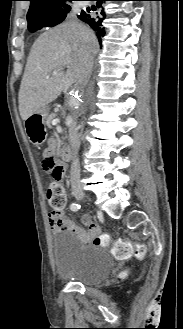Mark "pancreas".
<instances>
[{
  "label": "pancreas",
  "mask_w": 183,
  "mask_h": 329,
  "mask_svg": "<svg viewBox=\"0 0 183 329\" xmlns=\"http://www.w3.org/2000/svg\"><path fill=\"white\" fill-rule=\"evenodd\" d=\"M56 117V114H51L46 118L45 124L48 128H51L52 120Z\"/></svg>",
  "instance_id": "pancreas-1"
}]
</instances>
